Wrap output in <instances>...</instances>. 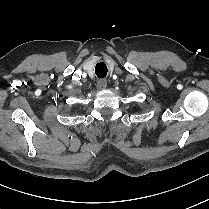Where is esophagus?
I'll return each mask as SVG.
<instances>
[{"mask_svg":"<svg viewBox=\"0 0 209 209\" xmlns=\"http://www.w3.org/2000/svg\"><path fill=\"white\" fill-rule=\"evenodd\" d=\"M106 87H107V80H106V79H100V80L97 82V89H98V90L105 89Z\"/></svg>","mask_w":209,"mask_h":209,"instance_id":"obj_1","label":"esophagus"}]
</instances>
